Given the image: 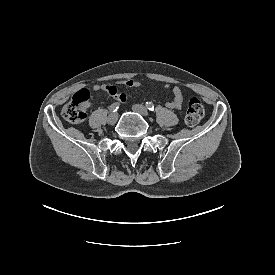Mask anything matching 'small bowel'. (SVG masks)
I'll list each match as a JSON object with an SVG mask.
<instances>
[{
  "label": "small bowel",
  "mask_w": 275,
  "mask_h": 275,
  "mask_svg": "<svg viewBox=\"0 0 275 275\" xmlns=\"http://www.w3.org/2000/svg\"><path fill=\"white\" fill-rule=\"evenodd\" d=\"M119 84L124 85L126 87H131V88H140L142 86L141 81L134 78H127V79L121 80L119 81ZM164 87L166 90H169L173 95V99L165 103L166 107L169 109H176V110L181 109L184 104V95L181 89L177 86H172L169 84H166ZM93 90L105 91L119 102H124L126 100V95L124 93L119 92L116 84L113 82H109L107 84H96L93 86Z\"/></svg>",
  "instance_id": "obj_1"
}]
</instances>
